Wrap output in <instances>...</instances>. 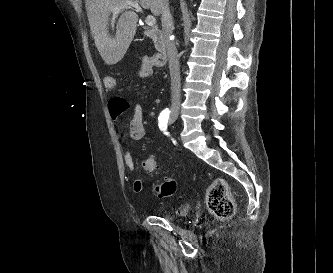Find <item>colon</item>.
<instances>
[{
  "instance_id": "1",
  "label": "colon",
  "mask_w": 333,
  "mask_h": 273,
  "mask_svg": "<svg viewBox=\"0 0 333 273\" xmlns=\"http://www.w3.org/2000/svg\"><path fill=\"white\" fill-rule=\"evenodd\" d=\"M149 60L153 67H159L164 64L163 58L160 55L150 56ZM104 85L110 91L116 89V81L114 78H105ZM143 169L151 175L160 173V166L153 157L143 161ZM155 190L158 196L168 197L176 192L177 183L173 178L166 176L156 185ZM206 203L209 211L218 219H228L232 217L235 212V203L230 193L229 185L222 178L214 179L208 185Z\"/></svg>"
}]
</instances>
